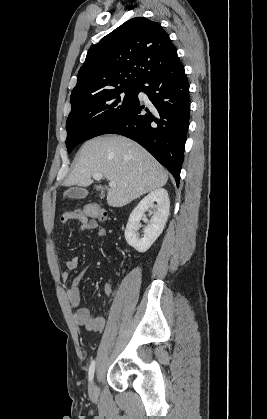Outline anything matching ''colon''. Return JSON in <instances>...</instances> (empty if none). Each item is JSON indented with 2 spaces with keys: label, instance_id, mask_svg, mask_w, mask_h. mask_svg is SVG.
<instances>
[{
  "label": "colon",
  "instance_id": "colon-1",
  "mask_svg": "<svg viewBox=\"0 0 267 419\" xmlns=\"http://www.w3.org/2000/svg\"><path fill=\"white\" fill-rule=\"evenodd\" d=\"M83 216L91 220L105 221L108 219L107 211L97 204H87L81 210Z\"/></svg>",
  "mask_w": 267,
  "mask_h": 419
}]
</instances>
